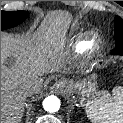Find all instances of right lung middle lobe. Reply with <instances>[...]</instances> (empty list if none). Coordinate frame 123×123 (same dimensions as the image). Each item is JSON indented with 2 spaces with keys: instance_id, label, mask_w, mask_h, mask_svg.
<instances>
[{
  "instance_id": "1",
  "label": "right lung middle lobe",
  "mask_w": 123,
  "mask_h": 123,
  "mask_svg": "<svg viewBox=\"0 0 123 123\" xmlns=\"http://www.w3.org/2000/svg\"><path fill=\"white\" fill-rule=\"evenodd\" d=\"M29 13L25 11H1V31L21 24Z\"/></svg>"
}]
</instances>
